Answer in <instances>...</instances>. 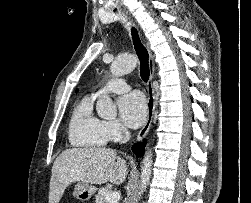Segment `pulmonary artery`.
<instances>
[{"instance_id": "pulmonary-artery-1", "label": "pulmonary artery", "mask_w": 251, "mask_h": 203, "mask_svg": "<svg viewBox=\"0 0 251 203\" xmlns=\"http://www.w3.org/2000/svg\"><path fill=\"white\" fill-rule=\"evenodd\" d=\"M129 89L130 85L127 84L123 78H114L109 80L100 91L94 93V96H97L102 92L123 93Z\"/></svg>"}]
</instances>
